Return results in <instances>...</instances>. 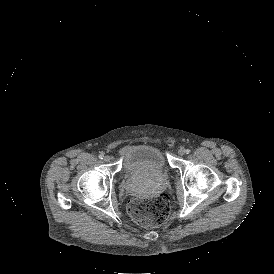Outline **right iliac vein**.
Returning <instances> with one entry per match:
<instances>
[{"label":"right iliac vein","mask_w":274,"mask_h":274,"mask_svg":"<svg viewBox=\"0 0 274 274\" xmlns=\"http://www.w3.org/2000/svg\"><path fill=\"white\" fill-rule=\"evenodd\" d=\"M110 160H111V157L109 155L104 156L105 162H110Z\"/></svg>","instance_id":"63e3f726"}]
</instances>
